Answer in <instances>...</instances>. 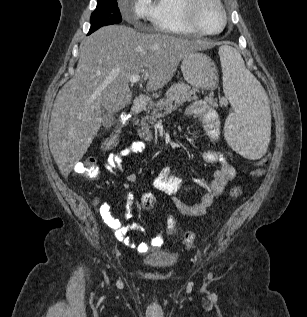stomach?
I'll list each match as a JSON object with an SVG mask.
<instances>
[{
  "label": "stomach",
  "mask_w": 307,
  "mask_h": 317,
  "mask_svg": "<svg viewBox=\"0 0 307 317\" xmlns=\"http://www.w3.org/2000/svg\"><path fill=\"white\" fill-rule=\"evenodd\" d=\"M181 71L187 83L194 87L213 89L217 76L212 59L204 53L191 51L184 55Z\"/></svg>",
  "instance_id": "1"
}]
</instances>
